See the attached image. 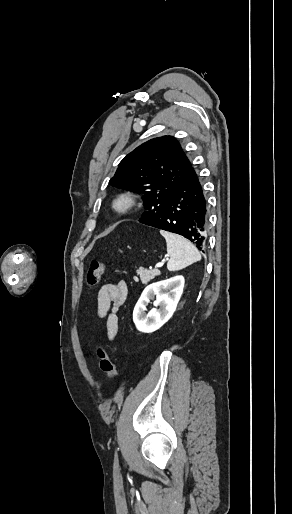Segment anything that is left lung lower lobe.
I'll list each match as a JSON object with an SVG mask.
<instances>
[{
  "mask_svg": "<svg viewBox=\"0 0 292 514\" xmlns=\"http://www.w3.org/2000/svg\"><path fill=\"white\" fill-rule=\"evenodd\" d=\"M145 224L182 235L193 242L199 250L205 247L208 227L207 202L193 167L163 205L161 213Z\"/></svg>",
  "mask_w": 292,
  "mask_h": 514,
  "instance_id": "obj_1",
  "label": "left lung lower lobe"
}]
</instances>
